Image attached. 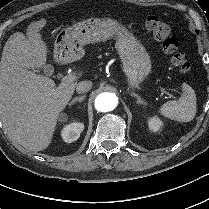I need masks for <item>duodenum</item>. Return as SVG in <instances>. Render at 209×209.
<instances>
[{
	"label": "duodenum",
	"instance_id": "obj_1",
	"mask_svg": "<svg viewBox=\"0 0 209 209\" xmlns=\"http://www.w3.org/2000/svg\"><path fill=\"white\" fill-rule=\"evenodd\" d=\"M58 62H59L60 64L67 63L65 60H59Z\"/></svg>",
	"mask_w": 209,
	"mask_h": 209
}]
</instances>
